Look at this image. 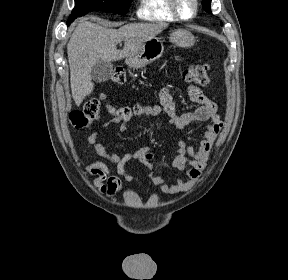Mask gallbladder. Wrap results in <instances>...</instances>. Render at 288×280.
<instances>
[{
	"label": "gallbladder",
	"instance_id": "obj_1",
	"mask_svg": "<svg viewBox=\"0 0 288 280\" xmlns=\"http://www.w3.org/2000/svg\"><path fill=\"white\" fill-rule=\"evenodd\" d=\"M113 72V65L110 62L99 60L92 68V78L97 82L107 81Z\"/></svg>",
	"mask_w": 288,
	"mask_h": 280
}]
</instances>
